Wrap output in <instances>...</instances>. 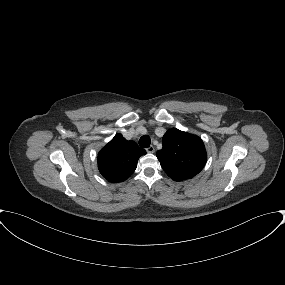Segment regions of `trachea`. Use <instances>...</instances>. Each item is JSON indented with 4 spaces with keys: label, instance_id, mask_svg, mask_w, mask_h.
<instances>
[{
    "label": "trachea",
    "instance_id": "1",
    "mask_svg": "<svg viewBox=\"0 0 285 285\" xmlns=\"http://www.w3.org/2000/svg\"><path fill=\"white\" fill-rule=\"evenodd\" d=\"M150 144H151V139L147 135H144L139 139V145L141 147L147 148L150 146Z\"/></svg>",
    "mask_w": 285,
    "mask_h": 285
}]
</instances>
